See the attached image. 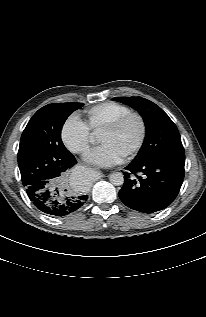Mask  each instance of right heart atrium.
<instances>
[{"mask_svg": "<svg viewBox=\"0 0 206 317\" xmlns=\"http://www.w3.org/2000/svg\"><path fill=\"white\" fill-rule=\"evenodd\" d=\"M61 139L73 153H85L90 146L92 134L89 126L76 115L69 116L61 127Z\"/></svg>", "mask_w": 206, "mask_h": 317, "instance_id": "right-heart-atrium-1", "label": "right heart atrium"}]
</instances>
